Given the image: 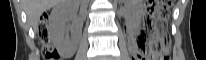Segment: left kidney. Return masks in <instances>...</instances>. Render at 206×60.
<instances>
[{
    "instance_id": "1",
    "label": "left kidney",
    "mask_w": 206,
    "mask_h": 60,
    "mask_svg": "<svg viewBox=\"0 0 206 60\" xmlns=\"http://www.w3.org/2000/svg\"><path fill=\"white\" fill-rule=\"evenodd\" d=\"M143 5L141 3H135L129 7L127 13V20L132 30L137 28L138 21L142 14Z\"/></svg>"
}]
</instances>
